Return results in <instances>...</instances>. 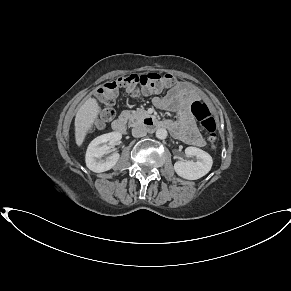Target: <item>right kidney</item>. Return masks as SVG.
I'll return each instance as SVG.
<instances>
[{
  "label": "right kidney",
  "mask_w": 291,
  "mask_h": 291,
  "mask_svg": "<svg viewBox=\"0 0 291 291\" xmlns=\"http://www.w3.org/2000/svg\"><path fill=\"white\" fill-rule=\"evenodd\" d=\"M121 137L120 133L111 132L95 138L89 144L86 152L87 167L95 173L105 172L113 168L119 160L120 155L114 153L105 159H102V157L110 152L111 146L117 144Z\"/></svg>",
  "instance_id": "right-kidney-1"
}]
</instances>
